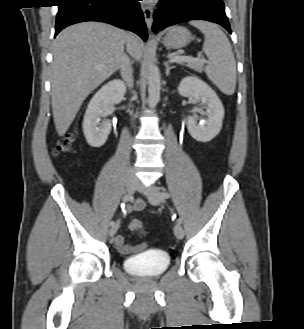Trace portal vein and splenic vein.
Masks as SVG:
<instances>
[{
    "label": "portal vein and splenic vein",
    "instance_id": "portal-vein-and-splenic-vein-1",
    "mask_svg": "<svg viewBox=\"0 0 304 329\" xmlns=\"http://www.w3.org/2000/svg\"><path fill=\"white\" fill-rule=\"evenodd\" d=\"M169 62H200L203 63L205 60L203 58H194L190 56H174L169 59Z\"/></svg>",
    "mask_w": 304,
    "mask_h": 329
}]
</instances>
